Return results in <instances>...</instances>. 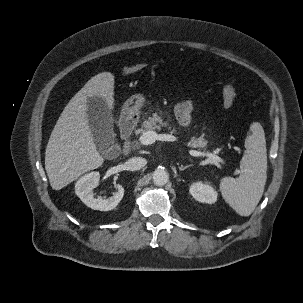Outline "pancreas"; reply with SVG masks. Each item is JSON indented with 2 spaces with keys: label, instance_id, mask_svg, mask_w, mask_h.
Instances as JSON below:
<instances>
[{
  "label": "pancreas",
  "instance_id": "obj_1",
  "mask_svg": "<svg viewBox=\"0 0 303 303\" xmlns=\"http://www.w3.org/2000/svg\"><path fill=\"white\" fill-rule=\"evenodd\" d=\"M163 127H168L170 129L169 122L164 121L161 116H159L157 113H154L152 117H149L143 122L141 131L145 132L161 130ZM172 132H175V130ZM188 145L193 148L205 149L207 146V140L203 136H200L198 138L193 136L188 142Z\"/></svg>",
  "mask_w": 303,
  "mask_h": 303
}]
</instances>
